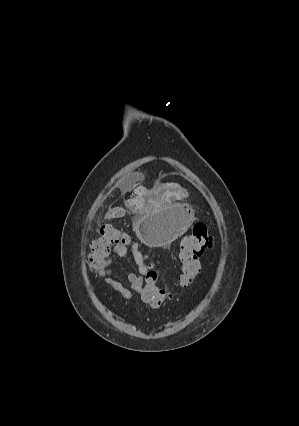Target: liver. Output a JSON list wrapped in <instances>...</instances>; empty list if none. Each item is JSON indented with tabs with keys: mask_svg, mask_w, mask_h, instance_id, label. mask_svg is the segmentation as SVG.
<instances>
[{
	"mask_svg": "<svg viewBox=\"0 0 299 426\" xmlns=\"http://www.w3.org/2000/svg\"><path fill=\"white\" fill-rule=\"evenodd\" d=\"M126 189H123V192H125ZM135 192L137 194V197L135 199H132L130 201L126 202V206H132L134 204L137 205V207L141 210H144L147 206L151 207L152 205H154L155 201L153 200V198L151 197L153 194L154 195H158L159 193V189L157 190H153L151 192H146L144 190L143 187H138L135 189ZM147 196L148 199L147 201L144 200L143 196ZM165 195H169V193H165ZM125 213V210L121 207H116L114 209H111L107 214H106V218H115V217H120Z\"/></svg>",
	"mask_w": 299,
	"mask_h": 426,
	"instance_id": "obj_1",
	"label": "liver"
}]
</instances>
